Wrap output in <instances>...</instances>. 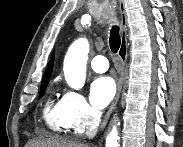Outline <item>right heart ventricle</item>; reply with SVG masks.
Listing matches in <instances>:
<instances>
[{
    "label": "right heart ventricle",
    "mask_w": 183,
    "mask_h": 147,
    "mask_svg": "<svg viewBox=\"0 0 183 147\" xmlns=\"http://www.w3.org/2000/svg\"><path fill=\"white\" fill-rule=\"evenodd\" d=\"M47 126L56 133L66 131L69 127L64 116V108L61 99H48L43 111Z\"/></svg>",
    "instance_id": "e07e8e85"
}]
</instances>
